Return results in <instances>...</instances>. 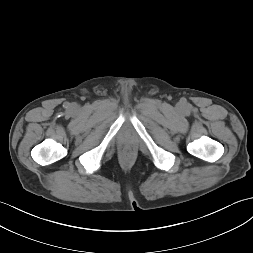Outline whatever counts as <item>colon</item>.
Here are the masks:
<instances>
[{
    "label": "colon",
    "mask_w": 253,
    "mask_h": 253,
    "mask_svg": "<svg viewBox=\"0 0 253 253\" xmlns=\"http://www.w3.org/2000/svg\"><path fill=\"white\" fill-rule=\"evenodd\" d=\"M132 155V150L130 148H126L123 150V156L125 158H129Z\"/></svg>",
    "instance_id": "1"
}]
</instances>
